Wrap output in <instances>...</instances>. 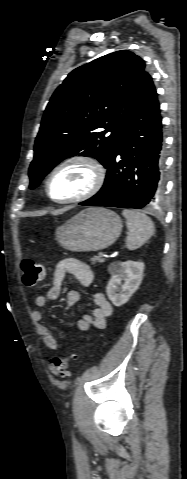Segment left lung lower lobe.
Segmentation results:
<instances>
[{"instance_id":"left-lung-lower-lobe-1","label":"left lung lower lobe","mask_w":187,"mask_h":479,"mask_svg":"<svg viewBox=\"0 0 187 479\" xmlns=\"http://www.w3.org/2000/svg\"><path fill=\"white\" fill-rule=\"evenodd\" d=\"M163 133L157 92L148 74L130 110L101 190L80 203L140 209L163 193Z\"/></svg>"}]
</instances>
